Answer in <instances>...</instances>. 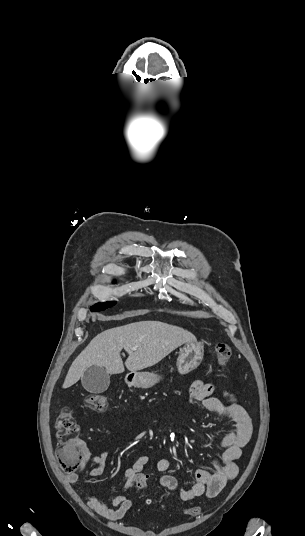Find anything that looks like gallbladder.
I'll use <instances>...</instances> for the list:
<instances>
[{"instance_id": "bac80fb5", "label": "gallbladder", "mask_w": 305, "mask_h": 536, "mask_svg": "<svg viewBox=\"0 0 305 536\" xmlns=\"http://www.w3.org/2000/svg\"><path fill=\"white\" fill-rule=\"evenodd\" d=\"M81 384L90 394H102L110 386V376L102 366H90L83 372Z\"/></svg>"}]
</instances>
